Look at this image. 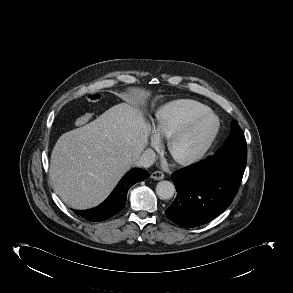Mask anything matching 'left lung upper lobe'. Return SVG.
Wrapping results in <instances>:
<instances>
[{
	"label": "left lung upper lobe",
	"mask_w": 293,
	"mask_h": 293,
	"mask_svg": "<svg viewBox=\"0 0 293 293\" xmlns=\"http://www.w3.org/2000/svg\"><path fill=\"white\" fill-rule=\"evenodd\" d=\"M243 147H246V140L244 137V134L239 127L236 120L232 121L231 124V135L227 138L225 142V146L220 148L215 155L218 153H222L224 151H234L237 149H241Z\"/></svg>",
	"instance_id": "left-lung-upper-lobe-1"
}]
</instances>
